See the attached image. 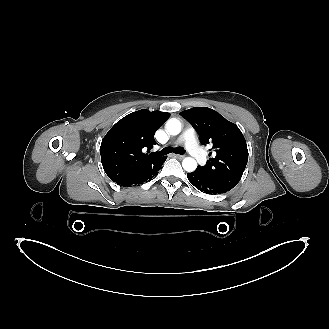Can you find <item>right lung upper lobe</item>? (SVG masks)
I'll return each mask as SVG.
<instances>
[{
	"label": "right lung upper lobe",
	"mask_w": 329,
	"mask_h": 329,
	"mask_svg": "<svg viewBox=\"0 0 329 329\" xmlns=\"http://www.w3.org/2000/svg\"><path fill=\"white\" fill-rule=\"evenodd\" d=\"M170 116L167 112L142 109L119 120L105 135L100 147L101 161L108 177L126 183L151 168L163 157L150 152L155 132ZM144 147L147 152H144Z\"/></svg>",
	"instance_id": "cb5924a9"
}]
</instances>
